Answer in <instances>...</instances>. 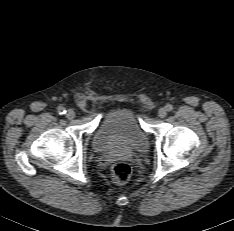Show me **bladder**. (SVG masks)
<instances>
[{
  "instance_id": "1",
  "label": "bladder",
  "mask_w": 234,
  "mask_h": 231,
  "mask_svg": "<svg viewBox=\"0 0 234 231\" xmlns=\"http://www.w3.org/2000/svg\"><path fill=\"white\" fill-rule=\"evenodd\" d=\"M93 146L101 153L123 150L145 154L149 138L133 111L119 107L104 116L93 135Z\"/></svg>"
}]
</instances>
